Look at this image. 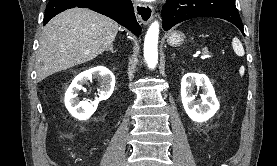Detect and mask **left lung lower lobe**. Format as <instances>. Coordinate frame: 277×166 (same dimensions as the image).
I'll return each instance as SVG.
<instances>
[{
	"mask_svg": "<svg viewBox=\"0 0 277 166\" xmlns=\"http://www.w3.org/2000/svg\"><path fill=\"white\" fill-rule=\"evenodd\" d=\"M161 15L165 31L188 19L215 17L233 23L245 35L235 0H167Z\"/></svg>",
	"mask_w": 277,
	"mask_h": 166,
	"instance_id": "1",
	"label": "left lung lower lobe"
}]
</instances>
